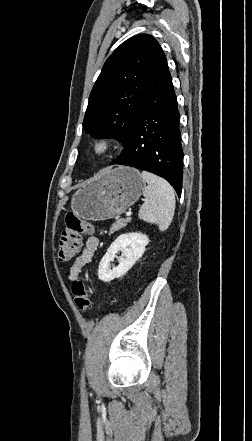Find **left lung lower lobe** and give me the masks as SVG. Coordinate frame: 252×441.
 I'll use <instances>...</instances> for the list:
<instances>
[{
    "label": "left lung lower lobe",
    "mask_w": 252,
    "mask_h": 441,
    "mask_svg": "<svg viewBox=\"0 0 252 441\" xmlns=\"http://www.w3.org/2000/svg\"><path fill=\"white\" fill-rule=\"evenodd\" d=\"M179 122L177 97L162 52L124 150L110 165H127L161 176L180 197L183 151Z\"/></svg>",
    "instance_id": "left-lung-lower-lobe-1"
}]
</instances>
